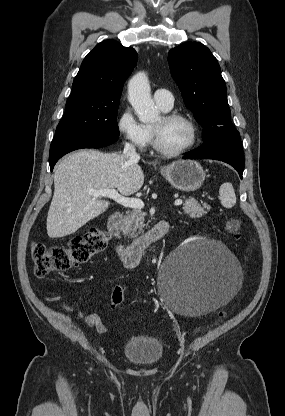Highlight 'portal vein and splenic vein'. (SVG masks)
I'll use <instances>...</instances> for the list:
<instances>
[{
	"mask_svg": "<svg viewBox=\"0 0 285 416\" xmlns=\"http://www.w3.org/2000/svg\"><path fill=\"white\" fill-rule=\"evenodd\" d=\"M87 194L94 196V198H99V196L111 198V200L125 206V208H137V210L144 208L142 200H139V198H124V196L118 194L117 190H87ZM181 204H183L182 200H175L174 202V206H181Z\"/></svg>",
	"mask_w": 285,
	"mask_h": 416,
	"instance_id": "obj_1",
	"label": "portal vein and splenic vein"
}]
</instances>
